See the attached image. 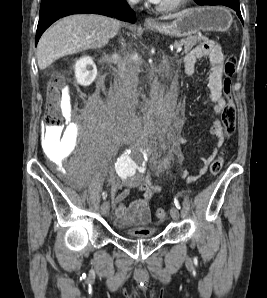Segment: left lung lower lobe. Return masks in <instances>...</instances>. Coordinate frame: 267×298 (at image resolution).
<instances>
[{"label": "left lung lower lobe", "mask_w": 267, "mask_h": 298, "mask_svg": "<svg viewBox=\"0 0 267 298\" xmlns=\"http://www.w3.org/2000/svg\"><path fill=\"white\" fill-rule=\"evenodd\" d=\"M199 5H224L230 7L237 12L238 17L243 22L239 7V0H204Z\"/></svg>", "instance_id": "obj_1"}]
</instances>
